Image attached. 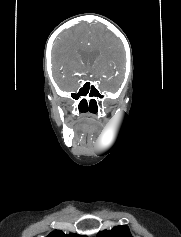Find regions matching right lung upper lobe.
Returning a JSON list of instances; mask_svg holds the SVG:
<instances>
[{"label": "right lung upper lobe", "mask_w": 181, "mask_h": 237, "mask_svg": "<svg viewBox=\"0 0 181 237\" xmlns=\"http://www.w3.org/2000/svg\"><path fill=\"white\" fill-rule=\"evenodd\" d=\"M47 237H82L78 234H64L62 231L60 230H55L53 232H51Z\"/></svg>", "instance_id": "cb5924a9"}]
</instances>
